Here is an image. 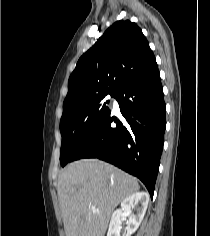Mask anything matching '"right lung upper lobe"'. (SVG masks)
Returning <instances> with one entry per match:
<instances>
[{"label":"right lung upper lobe","instance_id":"right-lung-upper-lobe-1","mask_svg":"<svg viewBox=\"0 0 210 236\" xmlns=\"http://www.w3.org/2000/svg\"><path fill=\"white\" fill-rule=\"evenodd\" d=\"M156 65L141 29L128 20L115 22L78 60L68 81L63 113L89 98L116 93L127 81Z\"/></svg>","mask_w":210,"mask_h":236}]
</instances>
